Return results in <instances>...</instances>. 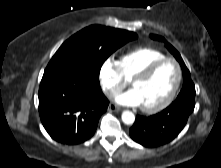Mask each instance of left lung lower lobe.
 Listing matches in <instances>:
<instances>
[{"instance_id":"0a47b994","label":"left lung lower lobe","mask_w":221,"mask_h":168,"mask_svg":"<svg viewBox=\"0 0 221 168\" xmlns=\"http://www.w3.org/2000/svg\"><path fill=\"white\" fill-rule=\"evenodd\" d=\"M195 107V93H180L170 106L158 114L136 116L131 138L145 147H158L175 139L185 127Z\"/></svg>"}]
</instances>
